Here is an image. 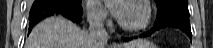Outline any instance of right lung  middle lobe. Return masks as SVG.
Wrapping results in <instances>:
<instances>
[{
	"label": "right lung middle lobe",
	"instance_id": "obj_1",
	"mask_svg": "<svg viewBox=\"0 0 213 48\" xmlns=\"http://www.w3.org/2000/svg\"><path fill=\"white\" fill-rule=\"evenodd\" d=\"M74 1L81 3V0H74Z\"/></svg>",
	"mask_w": 213,
	"mask_h": 48
}]
</instances>
